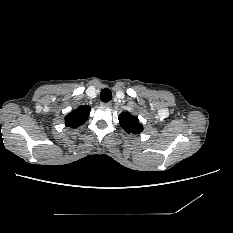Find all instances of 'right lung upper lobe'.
<instances>
[{
  "mask_svg": "<svg viewBox=\"0 0 233 233\" xmlns=\"http://www.w3.org/2000/svg\"><path fill=\"white\" fill-rule=\"evenodd\" d=\"M89 113H90L89 106L87 105L79 106L78 109L73 110L65 117L66 125L72 128L78 127L87 120Z\"/></svg>",
  "mask_w": 233,
  "mask_h": 233,
  "instance_id": "right-lung-upper-lobe-1",
  "label": "right lung upper lobe"
}]
</instances>
